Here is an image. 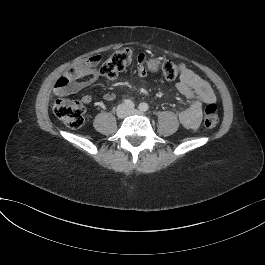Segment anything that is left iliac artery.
<instances>
[{
  "label": "left iliac artery",
  "mask_w": 265,
  "mask_h": 265,
  "mask_svg": "<svg viewBox=\"0 0 265 265\" xmlns=\"http://www.w3.org/2000/svg\"><path fill=\"white\" fill-rule=\"evenodd\" d=\"M139 109H140L141 111H147V110H149V105H148L147 103H145V102L140 103V104H139Z\"/></svg>",
  "instance_id": "obj_1"
}]
</instances>
